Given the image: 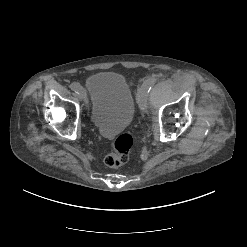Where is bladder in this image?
I'll return each mask as SVG.
<instances>
[{"label": "bladder", "mask_w": 247, "mask_h": 247, "mask_svg": "<svg viewBox=\"0 0 247 247\" xmlns=\"http://www.w3.org/2000/svg\"><path fill=\"white\" fill-rule=\"evenodd\" d=\"M90 118L103 136H113L130 125L135 97L125 77L116 72H98L86 81Z\"/></svg>", "instance_id": "bladder-1"}]
</instances>
